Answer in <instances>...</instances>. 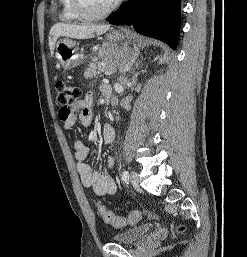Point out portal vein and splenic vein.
Returning a JSON list of instances; mask_svg holds the SVG:
<instances>
[{
	"mask_svg": "<svg viewBox=\"0 0 247 257\" xmlns=\"http://www.w3.org/2000/svg\"><path fill=\"white\" fill-rule=\"evenodd\" d=\"M111 74H112L111 71H106V72H105V75H106V76H110Z\"/></svg>",
	"mask_w": 247,
	"mask_h": 257,
	"instance_id": "portal-vein-and-splenic-vein-1",
	"label": "portal vein and splenic vein"
}]
</instances>
